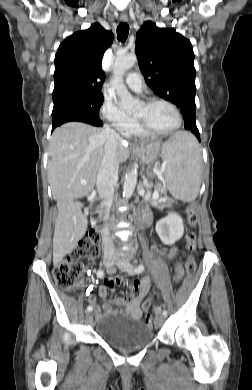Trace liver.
<instances>
[{
  "label": "liver",
  "mask_w": 252,
  "mask_h": 390,
  "mask_svg": "<svg viewBox=\"0 0 252 390\" xmlns=\"http://www.w3.org/2000/svg\"><path fill=\"white\" fill-rule=\"evenodd\" d=\"M105 144L104 129L80 122L66 123L52 133L47 173L58 208L53 237L54 264L72 252L87 230L88 222L81 213V204L76 200L94 189ZM129 155L128 144L120 139L116 150L117 161L123 163ZM82 180L86 184L82 185Z\"/></svg>",
  "instance_id": "obj_1"
}]
</instances>
